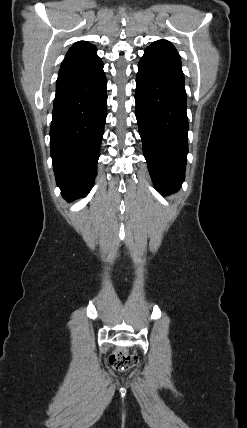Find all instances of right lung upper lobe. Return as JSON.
<instances>
[{
  "label": "right lung upper lobe",
  "mask_w": 247,
  "mask_h": 428,
  "mask_svg": "<svg viewBox=\"0 0 247 428\" xmlns=\"http://www.w3.org/2000/svg\"><path fill=\"white\" fill-rule=\"evenodd\" d=\"M97 49L86 41H78L67 52L61 68L84 63L96 56Z\"/></svg>",
  "instance_id": "obj_1"
}]
</instances>
